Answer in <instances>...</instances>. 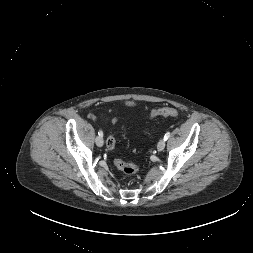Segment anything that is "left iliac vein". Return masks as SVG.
I'll return each instance as SVG.
<instances>
[{
    "mask_svg": "<svg viewBox=\"0 0 253 253\" xmlns=\"http://www.w3.org/2000/svg\"><path fill=\"white\" fill-rule=\"evenodd\" d=\"M165 148V140L161 139L157 144V150L162 151Z\"/></svg>",
    "mask_w": 253,
    "mask_h": 253,
    "instance_id": "4c4485c4",
    "label": "left iliac vein"
}]
</instances>
